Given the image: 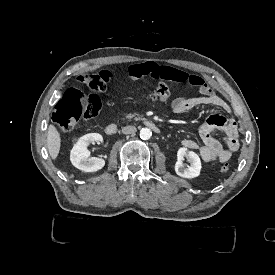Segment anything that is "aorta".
I'll return each instance as SVG.
<instances>
[{
	"label": "aorta",
	"instance_id": "obj_1",
	"mask_svg": "<svg viewBox=\"0 0 275 275\" xmlns=\"http://www.w3.org/2000/svg\"><path fill=\"white\" fill-rule=\"evenodd\" d=\"M152 136V132L149 128H142L140 130V138L143 140H148Z\"/></svg>",
	"mask_w": 275,
	"mask_h": 275
}]
</instances>
